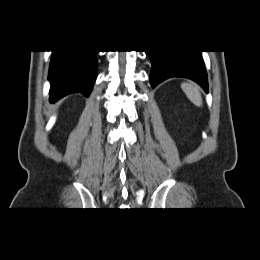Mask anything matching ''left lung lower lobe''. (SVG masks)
Segmentation results:
<instances>
[{"instance_id":"0a47b994","label":"left lung lower lobe","mask_w":260,"mask_h":260,"mask_svg":"<svg viewBox=\"0 0 260 260\" xmlns=\"http://www.w3.org/2000/svg\"><path fill=\"white\" fill-rule=\"evenodd\" d=\"M200 50L149 51L152 60L150 83L154 88L171 77H184L208 91L207 74Z\"/></svg>"}]
</instances>
